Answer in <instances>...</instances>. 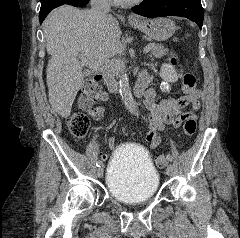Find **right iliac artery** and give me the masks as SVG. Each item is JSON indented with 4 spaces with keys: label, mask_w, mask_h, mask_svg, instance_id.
Wrapping results in <instances>:
<instances>
[{
    "label": "right iliac artery",
    "mask_w": 240,
    "mask_h": 238,
    "mask_svg": "<svg viewBox=\"0 0 240 238\" xmlns=\"http://www.w3.org/2000/svg\"><path fill=\"white\" fill-rule=\"evenodd\" d=\"M101 165H103L102 161H98L96 164L97 167H101Z\"/></svg>",
    "instance_id": "right-iliac-artery-1"
}]
</instances>
